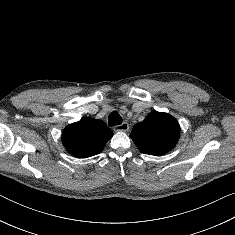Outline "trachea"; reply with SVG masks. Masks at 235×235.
Wrapping results in <instances>:
<instances>
[{
    "label": "trachea",
    "mask_w": 235,
    "mask_h": 235,
    "mask_svg": "<svg viewBox=\"0 0 235 235\" xmlns=\"http://www.w3.org/2000/svg\"><path fill=\"white\" fill-rule=\"evenodd\" d=\"M122 123V117L116 111L110 113L108 117V124L110 126L120 125Z\"/></svg>",
    "instance_id": "obj_1"
}]
</instances>
